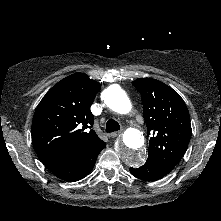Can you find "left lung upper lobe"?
I'll return each mask as SVG.
<instances>
[{
	"mask_svg": "<svg viewBox=\"0 0 221 221\" xmlns=\"http://www.w3.org/2000/svg\"><path fill=\"white\" fill-rule=\"evenodd\" d=\"M132 84L141 94L147 134L152 136L147 160L168 174L184 156L190 141L188 109L176 91L158 80L140 78Z\"/></svg>",
	"mask_w": 221,
	"mask_h": 221,
	"instance_id": "1",
	"label": "left lung upper lobe"
}]
</instances>
